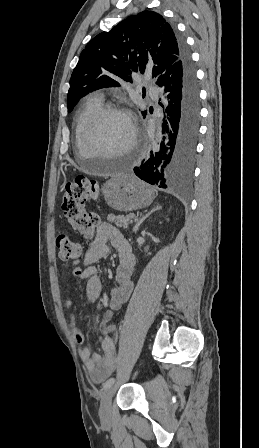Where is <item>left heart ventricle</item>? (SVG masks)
Listing matches in <instances>:
<instances>
[{"label":"left heart ventricle","mask_w":259,"mask_h":448,"mask_svg":"<svg viewBox=\"0 0 259 448\" xmlns=\"http://www.w3.org/2000/svg\"><path fill=\"white\" fill-rule=\"evenodd\" d=\"M131 136V126L124 117L116 114L105 117L93 136L94 144L99 149H83V163L121 154V150L129 145Z\"/></svg>","instance_id":"b2bd125f"}]
</instances>
